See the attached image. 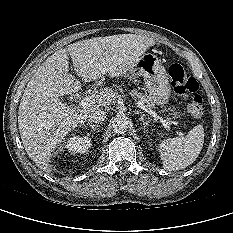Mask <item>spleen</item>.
<instances>
[{
  "mask_svg": "<svg viewBox=\"0 0 233 233\" xmlns=\"http://www.w3.org/2000/svg\"><path fill=\"white\" fill-rule=\"evenodd\" d=\"M204 144V128L197 125L185 137L164 139L158 145L163 167L169 171L191 165L199 156Z\"/></svg>",
  "mask_w": 233,
  "mask_h": 233,
  "instance_id": "1",
  "label": "spleen"
}]
</instances>
